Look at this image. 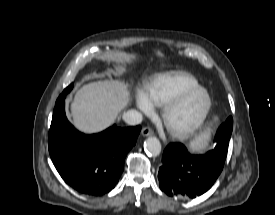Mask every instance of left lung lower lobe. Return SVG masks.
Wrapping results in <instances>:
<instances>
[{"label":"left lung lower lobe","instance_id":"obj_1","mask_svg":"<svg viewBox=\"0 0 275 215\" xmlns=\"http://www.w3.org/2000/svg\"><path fill=\"white\" fill-rule=\"evenodd\" d=\"M231 133L225 132V138L230 139ZM223 166V161L208 153L191 154L181 143L169 144L158 172L160 189L171 197L196 198L212 187Z\"/></svg>","mask_w":275,"mask_h":215}]
</instances>
